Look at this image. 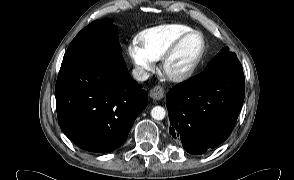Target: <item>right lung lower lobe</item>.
Returning a JSON list of instances; mask_svg holds the SVG:
<instances>
[{
    "mask_svg": "<svg viewBox=\"0 0 294 180\" xmlns=\"http://www.w3.org/2000/svg\"><path fill=\"white\" fill-rule=\"evenodd\" d=\"M148 93L128 74L120 51L62 63L56 82L59 125L80 148L107 153L126 140Z\"/></svg>",
    "mask_w": 294,
    "mask_h": 180,
    "instance_id": "obj_1",
    "label": "right lung lower lobe"
}]
</instances>
